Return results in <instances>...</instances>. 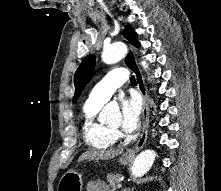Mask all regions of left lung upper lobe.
Masks as SVG:
<instances>
[{
    "label": "left lung upper lobe",
    "mask_w": 221,
    "mask_h": 191,
    "mask_svg": "<svg viewBox=\"0 0 221 191\" xmlns=\"http://www.w3.org/2000/svg\"><path fill=\"white\" fill-rule=\"evenodd\" d=\"M123 36L135 46H140L137 34L129 24L125 26V29L123 30ZM94 67L95 55L92 54L86 56L80 64V66L78 67V69L76 70L74 75L75 94L73 97V102H75L79 98L84 87L93 77Z\"/></svg>",
    "instance_id": "left-lung-upper-lobe-1"
}]
</instances>
